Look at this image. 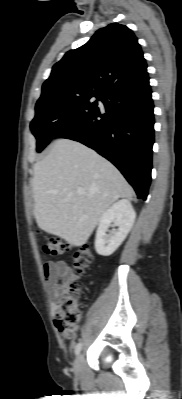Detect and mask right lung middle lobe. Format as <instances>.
<instances>
[{
    "label": "right lung middle lobe",
    "instance_id": "1",
    "mask_svg": "<svg viewBox=\"0 0 182 399\" xmlns=\"http://www.w3.org/2000/svg\"><path fill=\"white\" fill-rule=\"evenodd\" d=\"M94 97L102 101L103 95L62 96L38 102L35 118L30 124L37 139V151H42L60 133L80 126L98 113V102Z\"/></svg>",
    "mask_w": 182,
    "mask_h": 399
}]
</instances>
